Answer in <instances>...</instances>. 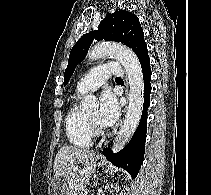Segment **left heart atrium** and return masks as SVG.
Segmentation results:
<instances>
[{
	"label": "left heart atrium",
	"instance_id": "obj_1",
	"mask_svg": "<svg viewBox=\"0 0 211 195\" xmlns=\"http://www.w3.org/2000/svg\"><path fill=\"white\" fill-rule=\"evenodd\" d=\"M120 113V107L116 96L110 91H106L100 98V111L98 113V121L104 126L113 125Z\"/></svg>",
	"mask_w": 211,
	"mask_h": 195
}]
</instances>
